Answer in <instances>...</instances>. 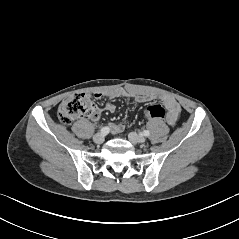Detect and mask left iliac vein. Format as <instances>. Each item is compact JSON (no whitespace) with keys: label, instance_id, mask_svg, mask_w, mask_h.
I'll use <instances>...</instances> for the list:
<instances>
[{"label":"left iliac vein","instance_id":"obj_1","mask_svg":"<svg viewBox=\"0 0 239 239\" xmlns=\"http://www.w3.org/2000/svg\"><path fill=\"white\" fill-rule=\"evenodd\" d=\"M128 138L129 141L134 145H138L145 142V138L137 135L135 132H130Z\"/></svg>","mask_w":239,"mask_h":239}]
</instances>
